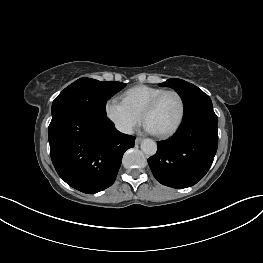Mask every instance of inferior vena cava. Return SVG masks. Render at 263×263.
<instances>
[{
  "label": "inferior vena cava",
  "mask_w": 263,
  "mask_h": 263,
  "mask_svg": "<svg viewBox=\"0 0 263 263\" xmlns=\"http://www.w3.org/2000/svg\"><path fill=\"white\" fill-rule=\"evenodd\" d=\"M120 131L125 133V134H133V129L131 127H129V126L120 129Z\"/></svg>",
  "instance_id": "inferior-vena-cava-1"
}]
</instances>
